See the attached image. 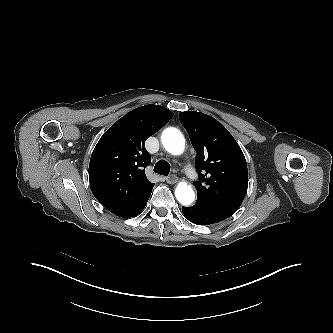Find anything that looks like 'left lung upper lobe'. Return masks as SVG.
I'll return each instance as SVG.
<instances>
[{
  "instance_id": "1",
  "label": "left lung upper lobe",
  "mask_w": 333,
  "mask_h": 333,
  "mask_svg": "<svg viewBox=\"0 0 333 333\" xmlns=\"http://www.w3.org/2000/svg\"><path fill=\"white\" fill-rule=\"evenodd\" d=\"M179 119L197 152V201L233 215L248 188L247 163L241 148L229 131L209 115L185 111Z\"/></svg>"
}]
</instances>
